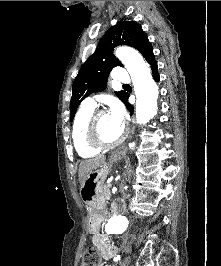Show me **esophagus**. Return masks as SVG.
<instances>
[{
    "mask_svg": "<svg viewBox=\"0 0 221 266\" xmlns=\"http://www.w3.org/2000/svg\"><path fill=\"white\" fill-rule=\"evenodd\" d=\"M134 123H135V120L133 119V126H132V129H131L130 138H131V136H132V134H133V132H134Z\"/></svg>",
    "mask_w": 221,
    "mask_h": 266,
    "instance_id": "esophagus-1",
    "label": "esophagus"
}]
</instances>
